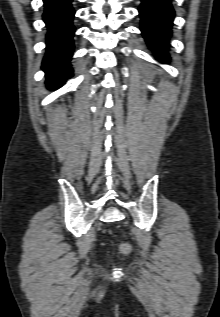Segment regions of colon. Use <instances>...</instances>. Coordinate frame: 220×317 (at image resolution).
<instances>
[{
	"instance_id": "colon-1",
	"label": "colon",
	"mask_w": 220,
	"mask_h": 317,
	"mask_svg": "<svg viewBox=\"0 0 220 317\" xmlns=\"http://www.w3.org/2000/svg\"><path fill=\"white\" fill-rule=\"evenodd\" d=\"M121 249H122V251H123L124 253H127V252L129 251V246H128L127 244H123V245L121 246Z\"/></svg>"
}]
</instances>
